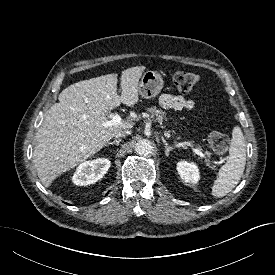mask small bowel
I'll return each instance as SVG.
<instances>
[{
    "mask_svg": "<svg viewBox=\"0 0 275 275\" xmlns=\"http://www.w3.org/2000/svg\"><path fill=\"white\" fill-rule=\"evenodd\" d=\"M159 103L166 109L175 110H192L195 107V102L192 99H187L178 95L163 94L159 97Z\"/></svg>",
    "mask_w": 275,
    "mask_h": 275,
    "instance_id": "small-bowel-1",
    "label": "small bowel"
}]
</instances>
